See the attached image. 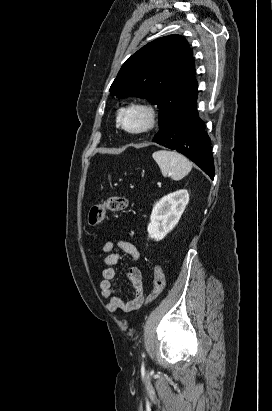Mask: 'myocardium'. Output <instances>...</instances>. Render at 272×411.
Instances as JSON below:
<instances>
[{
	"label": "myocardium",
	"instance_id": "f54148a6",
	"mask_svg": "<svg viewBox=\"0 0 272 411\" xmlns=\"http://www.w3.org/2000/svg\"><path fill=\"white\" fill-rule=\"evenodd\" d=\"M139 111L144 115V122L141 126L137 128H130L125 123V116L128 112ZM117 122L119 127L129 133L134 135L147 133L155 128L158 122L157 112L149 104L146 103H131L125 106L118 114Z\"/></svg>",
	"mask_w": 272,
	"mask_h": 411
}]
</instances>
